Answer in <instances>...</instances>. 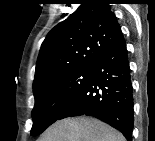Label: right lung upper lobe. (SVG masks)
<instances>
[{
	"instance_id": "cb5924a9",
	"label": "right lung upper lobe",
	"mask_w": 155,
	"mask_h": 141,
	"mask_svg": "<svg viewBox=\"0 0 155 141\" xmlns=\"http://www.w3.org/2000/svg\"><path fill=\"white\" fill-rule=\"evenodd\" d=\"M122 34L107 0H86L42 43L33 87L56 74L92 68Z\"/></svg>"
}]
</instances>
